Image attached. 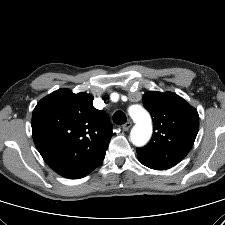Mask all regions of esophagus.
Here are the masks:
<instances>
[{
	"label": "esophagus",
	"instance_id": "obj_1",
	"mask_svg": "<svg viewBox=\"0 0 225 225\" xmlns=\"http://www.w3.org/2000/svg\"><path fill=\"white\" fill-rule=\"evenodd\" d=\"M132 126L131 122H126L125 124H123L122 128L124 131H128Z\"/></svg>",
	"mask_w": 225,
	"mask_h": 225
}]
</instances>
